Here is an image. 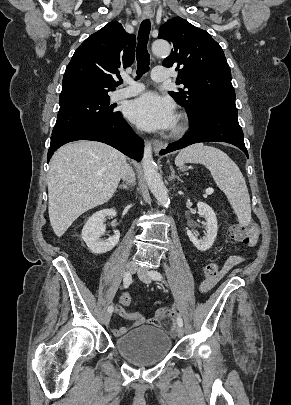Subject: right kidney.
Wrapping results in <instances>:
<instances>
[{
    "instance_id": "obj_1",
    "label": "right kidney",
    "mask_w": 291,
    "mask_h": 405,
    "mask_svg": "<svg viewBox=\"0 0 291 405\" xmlns=\"http://www.w3.org/2000/svg\"><path fill=\"white\" fill-rule=\"evenodd\" d=\"M116 216L114 209H103L94 213L86 222L82 230V239L92 253L102 254L112 250L119 242L120 232L114 231V235L106 240L100 239L105 232V217Z\"/></svg>"
}]
</instances>
